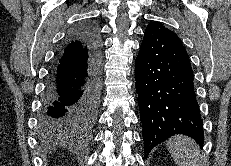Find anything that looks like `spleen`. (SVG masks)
<instances>
[{"instance_id": "obj_1", "label": "spleen", "mask_w": 231, "mask_h": 166, "mask_svg": "<svg viewBox=\"0 0 231 166\" xmlns=\"http://www.w3.org/2000/svg\"><path fill=\"white\" fill-rule=\"evenodd\" d=\"M167 148L178 166H200L199 146L193 139L175 135L167 141Z\"/></svg>"}]
</instances>
